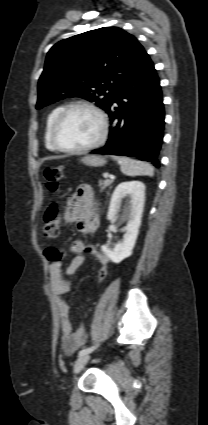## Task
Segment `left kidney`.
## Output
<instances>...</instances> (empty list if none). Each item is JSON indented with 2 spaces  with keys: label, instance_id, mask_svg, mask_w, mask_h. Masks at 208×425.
<instances>
[{
  "label": "left kidney",
  "instance_id": "left-kidney-1",
  "mask_svg": "<svg viewBox=\"0 0 208 425\" xmlns=\"http://www.w3.org/2000/svg\"><path fill=\"white\" fill-rule=\"evenodd\" d=\"M128 200L124 206V214L128 220L125 227L126 233L123 240L118 242L114 248L103 245L101 250L114 263H120L125 258L131 256L141 225V218L145 201V185L140 181H130L120 183L114 190L107 217L111 221L118 218V212L122 199Z\"/></svg>",
  "mask_w": 208,
  "mask_h": 425
}]
</instances>
